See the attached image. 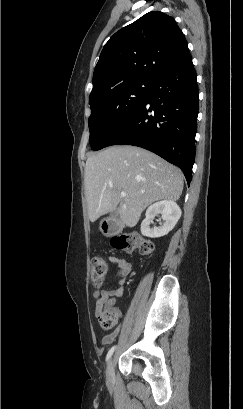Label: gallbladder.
I'll list each match as a JSON object with an SVG mask.
<instances>
[{"mask_svg": "<svg viewBox=\"0 0 243 409\" xmlns=\"http://www.w3.org/2000/svg\"><path fill=\"white\" fill-rule=\"evenodd\" d=\"M117 209H115L112 213H111V217L112 218H115V217H117Z\"/></svg>", "mask_w": 243, "mask_h": 409, "instance_id": "1", "label": "gallbladder"}]
</instances>
